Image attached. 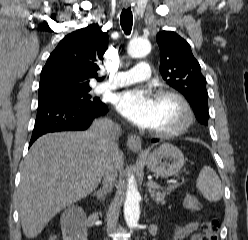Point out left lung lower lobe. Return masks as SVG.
<instances>
[{
  "mask_svg": "<svg viewBox=\"0 0 248 240\" xmlns=\"http://www.w3.org/2000/svg\"><path fill=\"white\" fill-rule=\"evenodd\" d=\"M158 140H152V142H157Z\"/></svg>",
  "mask_w": 248,
  "mask_h": 240,
  "instance_id": "obj_1",
  "label": "left lung lower lobe"
}]
</instances>
